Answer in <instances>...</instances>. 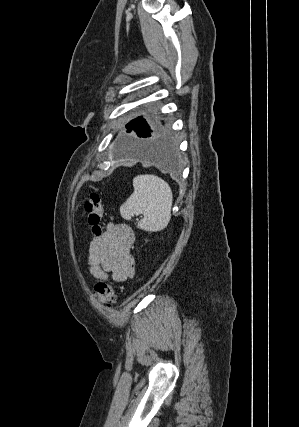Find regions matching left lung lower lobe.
<instances>
[{
  "label": "left lung lower lobe",
  "instance_id": "left-lung-lower-lobe-1",
  "mask_svg": "<svg viewBox=\"0 0 299 427\" xmlns=\"http://www.w3.org/2000/svg\"><path fill=\"white\" fill-rule=\"evenodd\" d=\"M145 138L138 147V155L143 160L168 169H177L176 145L162 127L151 128Z\"/></svg>",
  "mask_w": 299,
  "mask_h": 427
}]
</instances>
